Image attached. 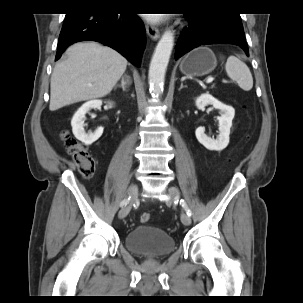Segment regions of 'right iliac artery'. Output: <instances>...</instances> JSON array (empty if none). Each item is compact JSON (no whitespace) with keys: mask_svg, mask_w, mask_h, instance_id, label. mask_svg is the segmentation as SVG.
I'll return each instance as SVG.
<instances>
[{"mask_svg":"<svg viewBox=\"0 0 303 303\" xmlns=\"http://www.w3.org/2000/svg\"><path fill=\"white\" fill-rule=\"evenodd\" d=\"M129 200H130V197L125 198V199L120 203V206H121V207H124V206L129 202Z\"/></svg>","mask_w":303,"mask_h":303,"instance_id":"82829eb1","label":"right iliac artery"}]
</instances>
